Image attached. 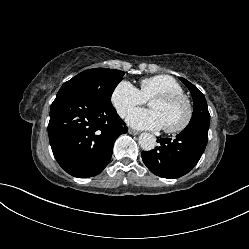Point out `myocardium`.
I'll return each instance as SVG.
<instances>
[{"mask_svg": "<svg viewBox=\"0 0 249 249\" xmlns=\"http://www.w3.org/2000/svg\"><path fill=\"white\" fill-rule=\"evenodd\" d=\"M152 100H157L165 103L175 102V101H182L186 106V116L184 120L175 127H167L164 126V131L166 133H180L184 131L193 118L194 108L192 101L190 98L184 93H163L156 95L152 98Z\"/></svg>", "mask_w": 249, "mask_h": 249, "instance_id": "1", "label": "myocardium"}]
</instances>
